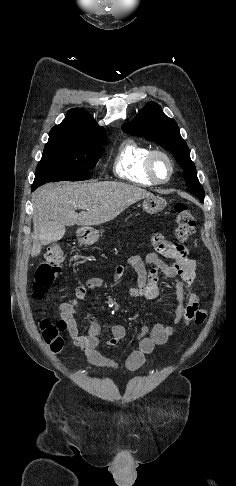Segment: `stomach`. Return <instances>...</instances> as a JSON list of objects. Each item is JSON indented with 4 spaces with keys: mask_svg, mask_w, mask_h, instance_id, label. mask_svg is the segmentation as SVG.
Returning <instances> with one entry per match:
<instances>
[{
    "mask_svg": "<svg viewBox=\"0 0 236 486\" xmlns=\"http://www.w3.org/2000/svg\"><path fill=\"white\" fill-rule=\"evenodd\" d=\"M167 202L162 197H150L143 201V209L149 214H156L162 211ZM77 239L82 245H92L99 239V232L90 227H83L76 232Z\"/></svg>",
    "mask_w": 236,
    "mask_h": 486,
    "instance_id": "0dacf381",
    "label": "stomach"
}]
</instances>
